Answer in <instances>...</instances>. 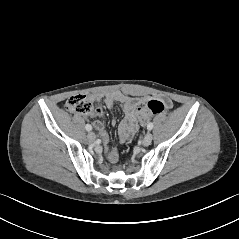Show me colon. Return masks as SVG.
<instances>
[{
  "mask_svg": "<svg viewBox=\"0 0 239 239\" xmlns=\"http://www.w3.org/2000/svg\"><path fill=\"white\" fill-rule=\"evenodd\" d=\"M66 108L72 113L89 114L93 111L92 101L85 95H73L68 98ZM165 105L160 100H150L138 110V117L142 124H146L152 116L161 114Z\"/></svg>",
  "mask_w": 239,
  "mask_h": 239,
  "instance_id": "obj_1",
  "label": "colon"
}]
</instances>
